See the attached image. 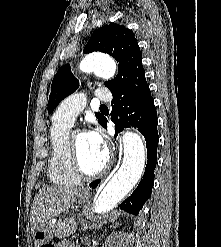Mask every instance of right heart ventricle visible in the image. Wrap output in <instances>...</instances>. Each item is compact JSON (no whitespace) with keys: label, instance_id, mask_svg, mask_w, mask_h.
I'll return each mask as SVG.
<instances>
[{"label":"right heart ventricle","instance_id":"right-heart-ventricle-1","mask_svg":"<svg viewBox=\"0 0 221 247\" xmlns=\"http://www.w3.org/2000/svg\"><path fill=\"white\" fill-rule=\"evenodd\" d=\"M68 123L53 119L50 130V155L48 159V177L58 186H75L80 177L75 173L69 149Z\"/></svg>","mask_w":221,"mask_h":247}]
</instances>
